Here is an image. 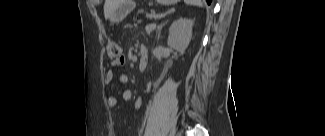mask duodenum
Listing matches in <instances>:
<instances>
[{
  "instance_id": "duodenum-1",
  "label": "duodenum",
  "mask_w": 325,
  "mask_h": 136,
  "mask_svg": "<svg viewBox=\"0 0 325 136\" xmlns=\"http://www.w3.org/2000/svg\"><path fill=\"white\" fill-rule=\"evenodd\" d=\"M148 55H149V49L147 46L143 45L140 47V56H139V70L144 71L147 68L148 65Z\"/></svg>"
}]
</instances>
